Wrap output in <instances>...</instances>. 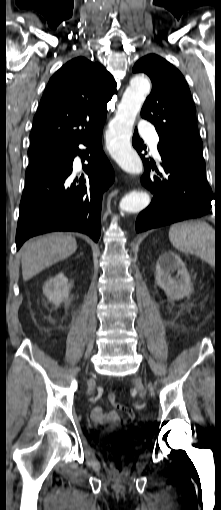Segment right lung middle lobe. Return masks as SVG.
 <instances>
[{
    "label": "right lung middle lobe",
    "mask_w": 221,
    "mask_h": 510,
    "mask_svg": "<svg viewBox=\"0 0 221 510\" xmlns=\"http://www.w3.org/2000/svg\"><path fill=\"white\" fill-rule=\"evenodd\" d=\"M64 149H44L28 152L30 164L58 156Z\"/></svg>",
    "instance_id": "obj_1"
}]
</instances>
